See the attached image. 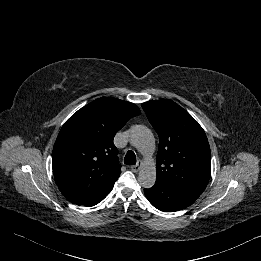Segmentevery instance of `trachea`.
Instances as JSON below:
<instances>
[{"label":"trachea","mask_w":261,"mask_h":261,"mask_svg":"<svg viewBox=\"0 0 261 261\" xmlns=\"http://www.w3.org/2000/svg\"><path fill=\"white\" fill-rule=\"evenodd\" d=\"M126 165H135L136 164V155L133 151L129 150L124 159Z\"/></svg>","instance_id":"obj_1"}]
</instances>
